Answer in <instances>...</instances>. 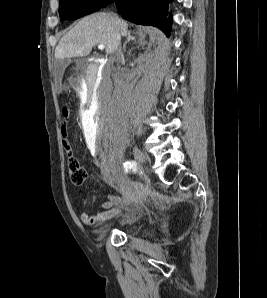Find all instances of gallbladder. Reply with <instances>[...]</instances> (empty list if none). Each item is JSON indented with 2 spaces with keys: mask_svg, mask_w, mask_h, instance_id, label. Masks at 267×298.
<instances>
[{
  "mask_svg": "<svg viewBox=\"0 0 267 298\" xmlns=\"http://www.w3.org/2000/svg\"><path fill=\"white\" fill-rule=\"evenodd\" d=\"M68 61L65 60H59L56 65L58 66L57 68V73H61V71L67 66Z\"/></svg>",
  "mask_w": 267,
  "mask_h": 298,
  "instance_id": "gallbladder-1",
  "label": "gallbladder"
}]
</instances>
